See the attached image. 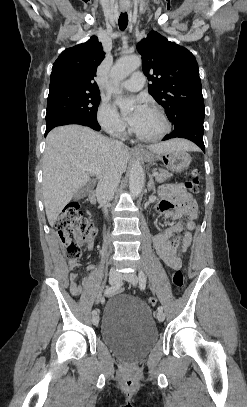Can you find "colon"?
<instances>
[{
  "mask_svg": "<svg viewBox=\"0 0 247 407\" xmlns=\"http://www.w3.org/2000/svg\"><path fill=\"white\" fill-rule=\"evenodd\" d=\"M184 185L190 193L199 191L198 169L191 171V175ZM56 228L62 245L71 258H78L81 255L82 243L88 241L95 232L93 224L84 218L83 210L78 201H72L64 207L56 221ZM172 282L176 287L183 285L184 277L180 269H176L172 274ZM156 303L155 297L149 298L150 305L154 306Z\"/></svg>",
  "mask_w": 247,
  "mask_h": 407,
  "instance_id": "obj_1",
  "label": "colon"
}]
</instances>
